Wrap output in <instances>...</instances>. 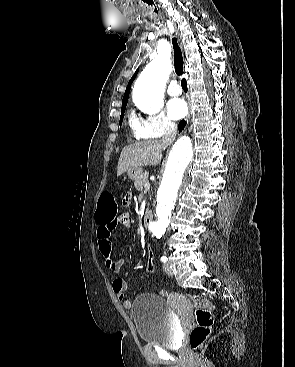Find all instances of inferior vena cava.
Segmentation results:
<instances>
[{
	"label": "inferior vena cava",
	"instance_id": "inferior-vena-cava-1",
	"mask_svg": "<svg viewBox=\"0 0 295 367\" xmlns=\"http://www.w3.org/2000/svg\"><path fill=\"white\" fill-rule=\"evenodd\" d=\"M177 134V126L175 124H167L164 132V136L162 138V142L164 145H170L176 138Z\"/></svg>",
	"mask_w": 295,
	"mask_h": 367
}]
</instances>
